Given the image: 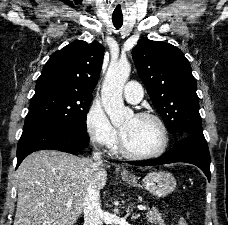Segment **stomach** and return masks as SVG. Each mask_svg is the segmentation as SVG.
<instances>
[{
	"label": "stomach",
	"instance_id": "stomach-1",
	"mask_svg": "<svg viewBox=\"0 0 228 225\" xmlns=\"http://www.w3.org/2000/svg\"><path fill=\"white\" fill-rule=\"evenodd\" d=\"M122 181H127L128 185L137 187L136 179H132L128 173L121 175ZM143 187L154 197H166L176 189V181L167 171H152L143 179Z\"/></svg>",
	"mask_w": 228,
	"mask_h": 225
}]
</instances>
